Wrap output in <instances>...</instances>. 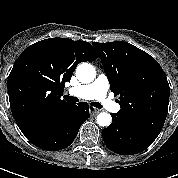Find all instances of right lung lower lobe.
I'll use <instances>...</instances> for the list:
<instances>
[{"label": "right lung lower lobe", "instance_id": "right-lung-lower-lobe-1", "mask_svg": "<svg viewBox=\"0 0 178 178\" xmlns=\"http://www.w3.org/2000/svg\"><path fill=\"white\" fill-rule=\"evenodd\" d=\"M90 117L86 102L72 104L65 112L36 121L21 129L35 146L58 151L68 147L75 139L80 126Z\"/></svg>", "mask_w": 178, "mask_h": 178}]
</instances>
